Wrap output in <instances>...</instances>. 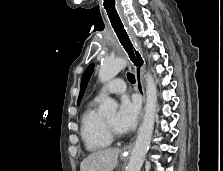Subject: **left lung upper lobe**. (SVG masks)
Listing matches in <instances>:
<instances>
[{"mask_svg": "<svg viewBox=\"0 0 223 171\" xmlns=\"http://www.w3.org/2000/svg\"><path fill=\"white\" fill-rule=\"evenodd\" d=\"M93 69H94V64H90L88 66V68L86 69V71L84 72L83 76H82V80H81V89H80V94H79V97H78V104L80 103L82 97H83V94H84V91L86 89V86L88 84V81L93 73Z\"/></svg>", "mask_w": 223, "mask_h": 171, "instance_id": "left-lung-upper-lobe-1", "label": "left lung upper lobe"}]
</instances>
